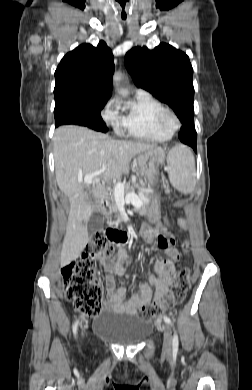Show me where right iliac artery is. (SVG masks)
Wrapping results in <instances>:
<instances>
[{
    "label": "right iliac artery",
    "instance_id": "right-iliac-artery-1",
    "mask_svg": "<svg viewBox=\"0 0 252 390\" xmlns=\"http://www.w3.org/2000/svg\"><path fill=\"white\" fill-rule=\"evenodd\" d=\"M77 327H78V321H76V322L74 323V325H73V333H74L75 336H76V334H77Z\"/></svg>",
    "mask_w": 252,
    "mask_h": 390
}]
</instances>
